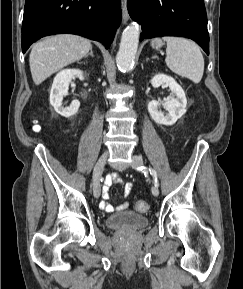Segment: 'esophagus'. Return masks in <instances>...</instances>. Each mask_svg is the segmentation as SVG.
<instances>
[{
	"instance_id": "obj_1",
	"label": "esophagus",
	"mask_w": 243,
	"mask_h": 289,
	"mask_svg": "<svg viewBox=\"0 0 243 289\" xmlns=\"http://www.w3.org/2000/svg\"><path fill=\"white\" fill-rule=\"evenodd\" d=\"M122 5V16L124 21H127L129 18L128 10H127V0H121Z\"/></svg>"
}]
</instances>
